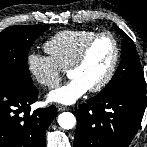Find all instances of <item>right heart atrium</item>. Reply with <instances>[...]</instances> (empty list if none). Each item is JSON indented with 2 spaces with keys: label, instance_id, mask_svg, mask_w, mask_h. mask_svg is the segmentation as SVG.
I'll list each match as a JSON object with an SVG mask.
<instances>
[{
  "label": "right heart atrium",
  "instance_id": "right-heart-atrium-1",
  "mask_svg": "<svg viewBox=\"0 0 147 147\" xmlns=\"http://www.w3.org/2000/svg\"><path fill=\"white\" fill-rule=\"evenodd\" d=\"M26 68L30 77L44 88L55 87L63 74V70L50 56L35 51L28 52Z\"/></svg>",
  "mask_w": 147,
  "mask_h": 147
}]
</instances>
